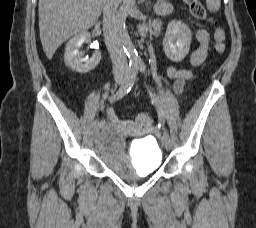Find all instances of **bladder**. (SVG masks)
Masks as SVG:
<instances>
[{"mask_svg":"<svg viewBox=\"0 0 256 228\" xmlns=\"http://www.w3.org/2000/svg\"><path fill=\"white\" fill-rule=\"evenodd\" d=\"M90 147L111 172L125 180L149 176L162 164V151L154 139L135 141L127 155L123 134L110 126L95 130Z\"/></svg>","mask_w":256,"mask_h":228,"instance_id":"obj_1","label":"bladder"}]
</instances>
